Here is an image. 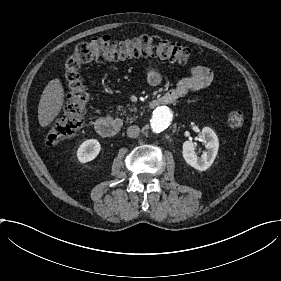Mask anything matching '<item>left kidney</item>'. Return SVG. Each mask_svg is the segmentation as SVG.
<instances>
[{"label": "left kidney", "mask_w": 281, "mask_h": 281, "mask_svg": "<svg viewBox=\"0 0 281 281\" xmlns=\"http://www.w3.org/2000/svg\"><path fill=\"white\" fill-rule=\"evenodd\" d=\"M202 138L205 142L206 151L201 157L195 153V146L192 141H185L183 143V157L185 161L193 168L205 171L214 162L219 148V140L216 133L209 127L202 129Z\"/></svg>", "instance_id": "left-kidney-1"}]
</instances>
